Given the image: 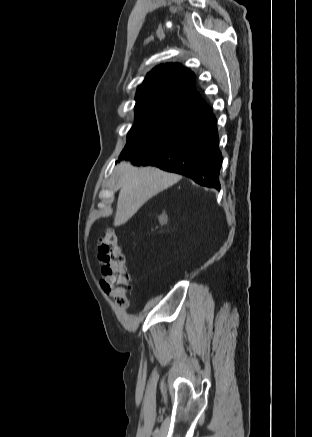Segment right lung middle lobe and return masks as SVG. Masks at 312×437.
Returning <instances> with one entry per match:
<instances>
[{
    "label": "right lung middle lobe",
    "mask_w": 312,
    "mask_h": 437,
    "mask_svg": "<svg viewBox=\"0 0 312 437\" xmlns=\"http://www.w3.org/2000/svg\"><path fill=\"white\" fill-rule=\"evenodd\" d=\"M200 114L165 105L136 107L135 124L120 156L136 152L175 137L192 125Z\"/></svg>",
    "instance_id": "right-lung-middle-lobe-1"
}]
</instances>
